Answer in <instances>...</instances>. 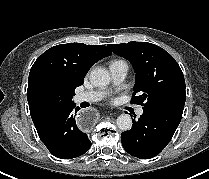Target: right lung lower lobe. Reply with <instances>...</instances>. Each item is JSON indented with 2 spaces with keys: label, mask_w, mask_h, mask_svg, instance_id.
<instances>
[{
  "label": "right lung lower lobe",
  "mask_w": 209,
  "mask_h": 179,
  "mask_svg": "<svg viewBox=\"0 0 209 179\" xmlns=\"http://www.w3.org/2000/svg\"><path fill=\"white\" fill-rule=\"evenodd\" d=\"M79 107L65 106L37 126V132L48 150L61 159H71L86 153L91 142L76 124L75 116Z\"/></svg>",
  "instance_id": "1"
}]
</instances>
